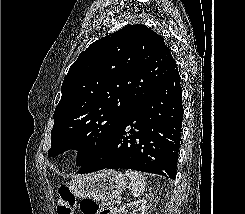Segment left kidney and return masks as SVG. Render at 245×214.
Returning a JSON list of instances; mask_svg holds the SVG:
<instances>
[{
  "label": "left kidney",
  "mask_w": 245,
  "mask_h": 214,
  "mask_svg": "<svg viewBox=\"0 0 245 214\" xmlns=\"http://www.w3.org/2000/svg\"><path fill=\"white\" fill-rule=\"evenodd\" d=\"M146 203L147 201L145 199L133 201L121 207L117 212L118 214H147L145 212ZM128 209H132V212L129 213Z\"/></svg>",
  "instance_id": "5707ae66"
}]
</instances>
